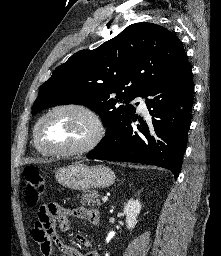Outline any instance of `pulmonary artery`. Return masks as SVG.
I'll use <instances>...</instances> for the list:
<instances>
[{
  "label": "pulmonary artery",
  "instance_id": "1",
  "mask_svg": "<svg viewBox=\"0 0 221 256\" xmlns=\"http://www.w3.org/2000/svg\"><path fill=\"white\" fill-rule=\"evenodd\" d=\"M137 102L139 103V109L142 110V111H145L146 110L145 99L142 98V97H138Z\"/></svg>",
  "mask_w": 221,
  "mask_h": 256
}]
</instances>
